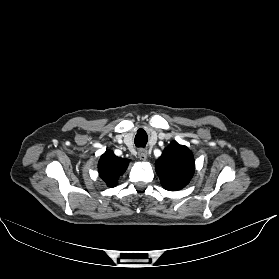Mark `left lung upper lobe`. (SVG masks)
<instances>
[{
	"label": "left lung upper lobe",
	"mask_w": 279,
	"mask_h": 279,
	"mask_svg": "<svg viewBox=\"0 0 279 279\" xmlns=\"http://www.w3.org/2000/svg\"><path fill=\"white\" fill-rule=\"evenodd\" d=\"M155 169L163 188L177 191L184 188L192 178L194 157L186 146L173 141L157 159Z\"/></svg>",
	"instance_id": "5c2ea615"
}]
</instances>
